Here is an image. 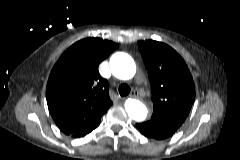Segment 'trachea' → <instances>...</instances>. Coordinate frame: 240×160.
Returning <instances> with one entry per match:
<instances>
[{
  "mask_svg": "<svg viewBox=\"0 0 240 160\" xmlns=\"http://www.w3.org/2000/svg\"><path fill=\"white\" fill-rule=\"evenodd\" d=\"M118 92L121 97L127 96L130 93V87L129 85L123 83L119 86Z\"/></svg>",
  "mask_w": 240,
  "mask_h": 160,
  "instance_id": "1",
  "label": "trachea"
}]
</instances>
